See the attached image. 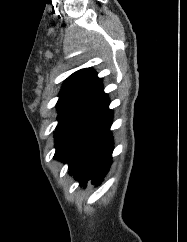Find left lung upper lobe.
Segmentation results:
<instances>
[{"label":"left lung upper lobe","mask_w":187,"mask_h":242,"mask_svg":"<svg viewBox=\"0 0 187 242\" xmlns=\"http://www.w3.org/2000/svg\"><path fill=\"white\" fill-rule=\"evenodd\" d=\"M109 103L102 79L92 68L76 71L64 81L57 102L55 159L66 158L76 141L110 111Z\"/></svg>","instance_id":"obj_1"}]
</instances>
